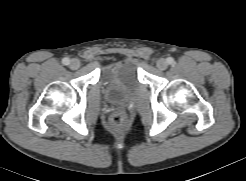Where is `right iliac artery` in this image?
I'll return each instance as SVG.
<instances>
[{"instance_id":"obj_1","label":"right iliac artery","mask_w":246,"mask_h":181,"mask_svg":"<svg viewBox=\"0 0 246 181\" xmlns=\"http://www.w3.org/2000/svg\"><path fill=\"white\" fill-rule=\"evenodd\" d=\"M69 62H70L69 58H63V59H62V63H63L64 65H68Z\"/></svg>"}]
</instances>
